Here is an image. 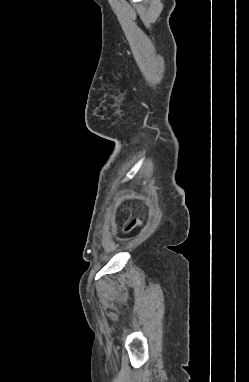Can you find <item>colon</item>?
Listing matches in <instances>:
<instances>
[{"mask_svg": "<svg viewBox=\"0 0 249 382\" xmlns=\"http://www.w3.org/2000/svg\"><path fill=\"white\" fill-rule=\"evenodd\" d=\"M143 220V218H139L137 220H133V221H130V222H126L127 224V228H126V231H130L132 230L134 227H136L141 221Z\"/></svg>", "mask_w": 249, "mask_h": 382, "instance_id": "colon-1", "label": "colon"}]
</instances>
